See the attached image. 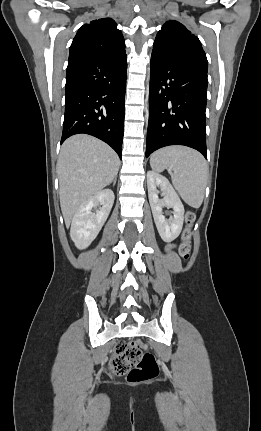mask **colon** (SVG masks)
Here are the masks:
<instances>
[{"label":"colon","mask_w":261,"mask_h":431,"mask_svg":"<svg viewBox=\"0 0 261 431\" xmlns=\"http://www.w3.org/2000/svg\"><path fill=\"white\" fill-rule=\"evenodd\" d=\"M186 228L179 247V254L185 260L192 256V227L195 213L189 211L185 216ZM109 371L114 375L127 374L132 384L148 382L157 377L159 368L155 356L150 352L142 351V344L137 341L119 343L115 354L109 362Z\"/></svg>","instance_id":"colon-1"}]
</instances>
